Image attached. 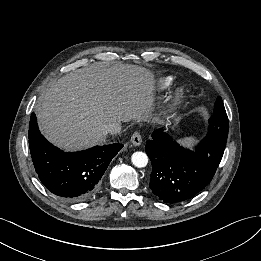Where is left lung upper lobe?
Returning a JSON list of instances; mask_svg holds the SVG:
<instances>
[{
  "label": "left lung upper lobe",
  "instance_id": "obj_1",
  "mask_svg": "<svg viewBox=\"0 0 261 261\" xmlns=\"http://www.w3.org/2000/svg\"><path fill=\"white\" fill-rule=\"evenodd\" d=\"M211 119H217L219 121V123L223 124L224 127L227 128V130L225 131L224 134H219L218 136L215 135L221 143L226 145L227 135H228V117H227L221 97H218L216 100L214 114L211 117ZM222 130L223 129H220V131H222Z\"/></svg>",
  "mask_w": 261,
  "mask_h": 261
}]
</instances>
